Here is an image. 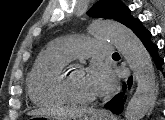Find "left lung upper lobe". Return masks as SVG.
Here are the masks:
<instances>
[{
	"label": "left lung upper lobe",
	"instance_id": "1",
	"mask_svg": "<svg viewBox=\"0 0 165 120\" xmlns=\"http://www.w3.org/2000/svg\"><path fill=\"white\" fill-rule=\"evenodd\" d=\"M88 15L94 18L114 19L129 27L135 20L131 16V11L120 0H99L88 11Z\"/></svg>",
	"mask_w": 165,
	"mask_h": 120
}]
</instances>
